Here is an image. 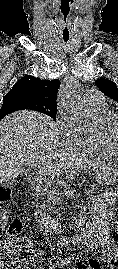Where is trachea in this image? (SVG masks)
<instances>
[{
  "instance_id": "1",
  "label": "trachea",
  "mask_w": 118,
  "mask_h": 269,
  "mask_svg": "<svg viewBox=\"0 0 118 269\" xmlns=\"http://www.w3.org/2000/svg\"><path fill=\"white\" fill-rule=\"evenodd\" d=\"M64 41H65V42H67V41H68V39H64Z\"/></svg>"
}]
</instances>
